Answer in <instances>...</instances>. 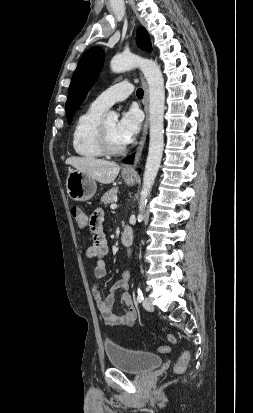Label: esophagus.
<instances>
[{
	"label": "esophagus",
	"mask_w": 253,
	"mask_h": 413,
	"mask_svg": "<svg viewBox=\"0 0 253 413\" xmlns=\"http://www.w3.org/2000/svg\"><path fill=\"white\" fill-rule=\"evenodd\" d=\"M142 84L144 87V98H143V105H144V111H145V121H144V126H143V132H142V137L139 143V146L137 147L136 153H135V158H134V163L133 164H128L123 168L124 173H129V174H134L135 173V165L137 164L138 160L140 159V156L142 154L145 141H146V136L148 133V126H149V93H148V86L145 81V79L142 77Z\"/></svg>",
	"instance_id": "obj_1"
}]
</instances>
